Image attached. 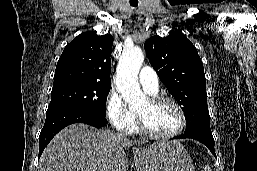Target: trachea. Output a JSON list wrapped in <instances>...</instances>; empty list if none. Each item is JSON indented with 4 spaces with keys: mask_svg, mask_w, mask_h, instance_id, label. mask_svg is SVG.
Segmentation results:
<instances>
[{
    "mask_svg": "<svg viewBox=\"0 0 257 171\" xmlns=\"http://www.w3.org/2000/svg\"><path fill=\"white\" fill-rule=\"evenodd\" d=\"M130 5H131L132 7H137V6H138V3H130Z\"/></svg>",
    "mask_w": 257,
    "mask_h": 171,
    "instance_id": "trachea-1",
    "label": "trachea"
}]
</instances>
